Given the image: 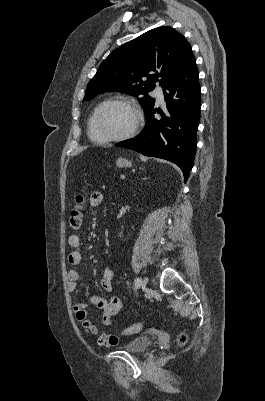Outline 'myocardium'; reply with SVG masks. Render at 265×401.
Wrapping results in <instances>:
<instances>
[{"label":"myocardium","instance_id":"obj_1","mask_svg":"<svg viewBox=\"0 0 265 401\" xmlns=\"http://www.w3.org/2000/svg\"><path fill=\"white\" fill-rule=\"evenodd\" d=\"M117 104H124L132 108L135 114V120L133 126L124 134L116 136V137H111V138H99L95 134V127L96 123L100 117V115L105 111L108 107L112 105H117ZM143 121V114L139 106L132 100L127 99V98H117V99H111L107 100L104 103L100 105V107L97 109V111L94 113L91 121H90V135L92 139L97 142V143H108V142H118L125 140L127 138H130L133 136L138 128L140 127L141 123Z\"/></svg>","mask_w":265,"mask_h":401}]
</instances>
